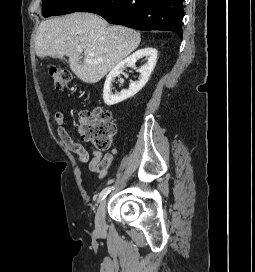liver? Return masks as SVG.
Here are the masks:
<instances>
[{"mask_svg":"<svg viewBox=\"0 0 255 272\" xmlns=\"http://www.w3.org/2000/svg\"><path fill=\"white\" fill-rule=\"evenodd\" d=\"M141 36L133 29L113 25L93 13L75 12L40 23L35 52L38 57L69 58L72 72L85 83L100 81L134 51ZM81 49L84 61L81 63Z\"/></svg>","mask_w":255,"mask_h":272,"instance_id":"obj_1","label":"liver"}]
</instances>
